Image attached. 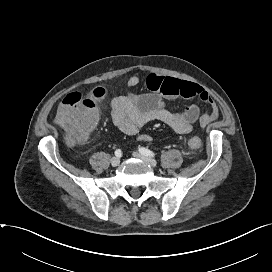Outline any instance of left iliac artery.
Instances as JSON below:
<instances>
[{"label": "left iliac artery", "mask_w": 272, "mask_h": 272, "mask_svg": "<svg viewBox=\"0 0 272 272\" xmlns=\"http://www.w3.org/2000/svg\"><path fill=\"white\" fill-rule=\"evenodd\" d=\"M139 152L145 156H149V157H154L155 153L152 152L151 150L144 148V147H140L139 148Z\"/></svg>", "instance_id": "obj_1"}]
</instances>
